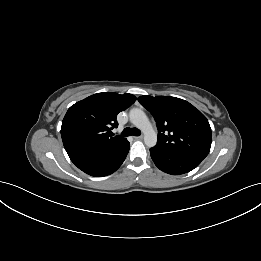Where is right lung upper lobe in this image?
Listing matches in <instances>:
<instances>
[{
	"label": "right lung upper lobe",
	"mask_w": 261,
	"mask_h": 261,
	"mask_svg": "<svg viewBox=\"0 0 261 261\" xmlns=\"http://www.w3.org/2000/svg\"><path fill=\"white\" fill-rule=\"evenodd\" d=\"M136 101L132 94L104 92L91 95L72 105L62 122L61 137L66 151L78 147L116 146L127 140L112 137L117 114Z\"/></svg>",
	"instance_id": "1"
}]
</instances>
